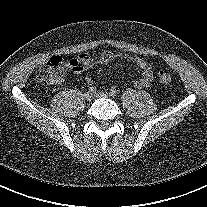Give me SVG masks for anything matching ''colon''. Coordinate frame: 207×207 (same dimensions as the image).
I'll return each mask as SVG.
<instances>
[{
	"label": "colon",
	"mask_w": 207,
	"mask_h": 207,
	"mask_svg": "<svg viewBox=\"0 0 207 207\" xmlns=\"http://www.w3.org/2000/svg\"><path fill=\"white\" fill-rule=\"evenodd\" d=\"M69 64L60 56H53L37 73V79L43 84H54L68 69ZM158 79L162 84H169L172 76L169 72L159 71Z\"/></svg>",
	"instance_id": "obj_1"
}]
</instances>
